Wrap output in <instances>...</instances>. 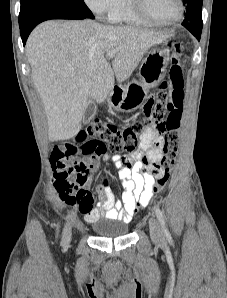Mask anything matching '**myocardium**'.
I'll return each instance as SVG.
<instances>
[{
  "label": "myocardium",
  "mask_w": 227,
  "mask_h": 298,
  "mask_svg": "<svg viewBox=\"0 0 227 298\" xmlns=\"http://www.w3.org/2000/svg\"><path fill=\"white\" fill-rule=\"evenodd\" d=\"M177 4H178V13L176 17H174L169 21H160L155 19L148 13L145 5V0H130L131 9L139 18L148 22L149 24L157 25V26H170L180 21V19L184 14L183 0H177Z\"/></svg>",
  "instance_id": "f54148a6"
}]
</instances>
